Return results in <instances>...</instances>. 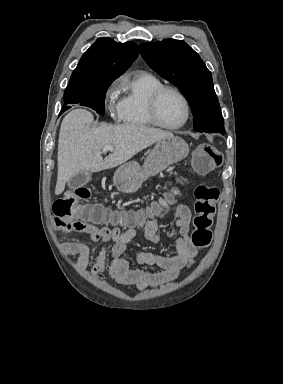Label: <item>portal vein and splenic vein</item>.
<instances>
[{"mask_svg": "<svg viewBox=\"0 0 283 384\" xmlns=\"http://www.w3.org/2000/svg\"><path fill=\"white\" fill-rule=\"evenodd\" d=\"M103 152H113L112 146H104Z\"/></svg>", "mask_w": 283, "mask_h": 384, "instance_id": "1", "label": "portal vein and splenic vein"}]
</instances>
